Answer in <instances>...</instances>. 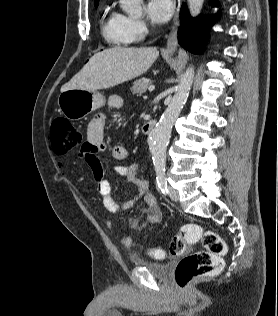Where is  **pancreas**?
Here are the masks:
<instances>
[{"mask_svg": "<svg viewBox=\"0 0 278 316\" xmlns=\"http://www.w3.org/2000/svg\"><path fill=\"white\" fill-rule=\"evenodd\" d=\"M151 85V80L148 78H141L133 83V87L131 88V91L133 94H136L137 96L143 94L146 92L148 87Z\"/></svg>", "mask_w": 278, "mask_h": 316, "instance_id": "cf45deb5", "label": "pancreas"}]
</instances>
